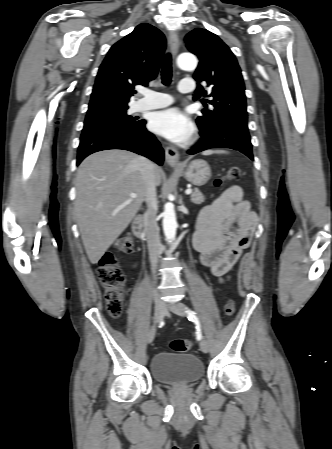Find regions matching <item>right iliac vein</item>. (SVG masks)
<instances>
[{
	"instance_id": "obj_1",
	"label": "right iliac vein",
	"mask_w": 332,
	"mask_h": 449,
	"mask_svg": "<svg viewBox=\"0 0 332 449\" xmlns=\"http://www.w3.org/2000/svg\"><path fill=\"white\" fill-rule=\"evenodd\" d=\"M166 314V305L161 300L155 301L154 306V317H155V324L149 329L147 333V343H151L154 340L155 337V331H156V323L160 322V320L165 316Z\"/></svg>"
}]
</instances>
